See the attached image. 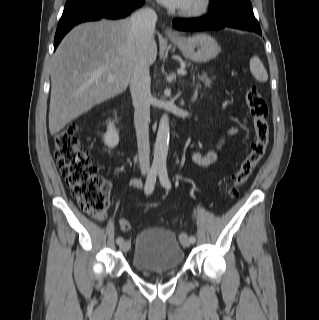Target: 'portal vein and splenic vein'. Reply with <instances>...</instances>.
<instances>
[{
	"mask_svg": "<svg viewBox=\"0 0 319 320\" xmlns=\"http://www.w3.org/2000/svg\"><path fill=\"white\" fill-rule=\"evenodd\" d=\"M177 73L181 74V75H186L187 71H186L185 67L182 66L180 69L177 70ZM113 79H114V76H109L108 77V80H113Z\"/></svg>",
	"mask_w": 319,
	"mask_h": 320,
	"instance_id": "portal-vein-and-splenic-vein-1",
	"label": "portal vein and splenic vein"
}]
</instances>
